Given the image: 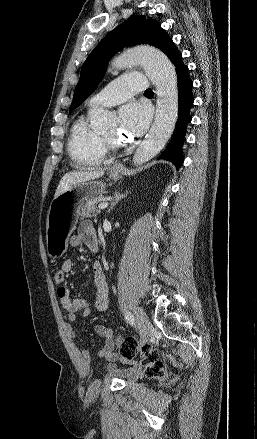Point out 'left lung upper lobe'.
<instances>
[{
	"label": "left lung upper lobe",
	"instance_id": "left-lung-upper-lobe-1",
	"mask_svg": "<svg viewBox=\"0 0 257 439\" xmlns=\"http://www.w3.org/2000/svg\"><path fill=\"white\" fill-rule=\"evenodd\" d=\"M172 42L156 20L143 15L129 17L109 32L85 60L69 111L81 105L96 89L105 74L108 61L118 51L126 46L149 44L166 53Z\"/></svg>",
	"mask_w": 257,
	"mask_h": 439
}]
</instances>
